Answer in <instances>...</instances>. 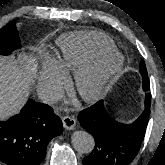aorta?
Masks as SVG:
<instances>
[{
    "label": "aorta",
    "mask_w": 165,
    "mask_h": 165,
    "mask_svg": "<svg viewBox=\"0 0 165 165\" xmlns=\"http://www.w3.org/2000/svg\"><path fill=\"white\" fill-rule=\"evenodd\" d=\"M72 145L77 152L88 154L93 151L95 141L93 136L88 132L75 131L72 135Z\"/></svg>",
    "instance_id": "aorta-1"
}]
</instances>
